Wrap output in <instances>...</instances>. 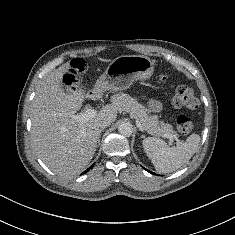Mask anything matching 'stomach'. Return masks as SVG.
Wrapping results in <instances>:
<instances>
[{
  "label": "stomach",
  "mask_w": 235,
  "mask_h": 235,
  "mask_svg": "<svg viewBox=\"0 0 235 235\" xmlns=\"http://www.w3.org/2000/svg\"><path fill=\"white\" fill-rule=\"evenodd\" d=\"M154 71L153 62L142 55H123L114 59L97 79L93 91H121L135 80H147Z\"/></svg>",
  "instance_id": "stomach-1"
}]
</instances>
